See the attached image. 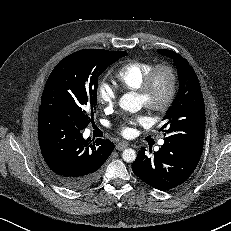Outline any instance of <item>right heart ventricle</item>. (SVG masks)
<instances>
[{
	"label": "right heart ventricle",
	"instance_id": "1",
	"mask_svg": "<svg viewBox=\"0 0 231 231\" xmlns=\"http://www.w3.org/2000/svg\"><path fill=\"white\" fill-rule=\"evenodd\" d=\"M153 66V62L141 60L124 64L115 73L117 85L123 90L136 91Z\"/></svg>",
	"mask_w": 231,
	"mask_h": 231
}]
</instances>
